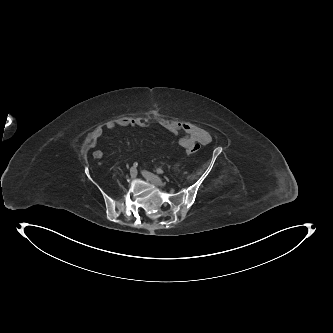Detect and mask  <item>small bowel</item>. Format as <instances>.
<instances>
[{
	"label": "small bowel",
	"instance_id": "obj_1",
	"mask_svg": "<svg viewBox=\"0 0 333 333\" xmlns=\"http://www.w3.org/2000/svg\"><path fill=\"white\" fill-rule=\"evenodd\" d=\"M160 125L163 129L173 135L182 134L178 139L177 144L188 153H191L194 144L207 145L212 141L211 135L206 130L193 123L164 119L160 122ZM117 126L144 128L148 126V122L141 118H121L117 121H109L105 125V127L109 130L114 129ZM102 134V128H96L90 136L88 146L90 148H95ZM92 155L95 159L103 158V152L101 150H94Z\"/></svg>",
	"mask_w": 333,
	"mask_h": 333
}]
</instances>
